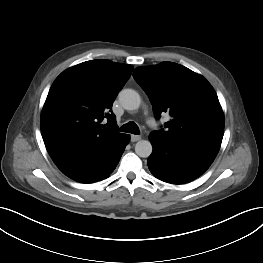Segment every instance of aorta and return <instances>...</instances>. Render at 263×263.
<instances>
[{"label":"aorta","instance_id":"1","mask_svg":"<svg viewBox=\"0 0 263 263\" xmlns=\"http://www.w3.org/2000/svg\"><path fill=\"white\" fill-rule=\"evenodd\" d=\"M119 101L126 110H136L141 104L140 95L133 89H124L119 93ZM152 145L148 140H140L135 145V153L148 158L152 153Z\"/></svg>","mask_w":263,"mask_h":263}]
</instances>
